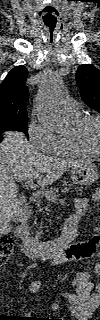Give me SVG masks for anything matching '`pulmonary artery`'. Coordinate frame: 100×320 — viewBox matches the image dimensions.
<instances>
[{
    "instance_id": "e3ab8cb5",
    "label": "pulmonary artery",
    "mask_w": 100,
    "mask_h": 320,
    "mask_svg": "<svg viewBox=\"0 0 100 320\" xmlns=\"http://www.w3.org/2000/svg\"><path fill=\"white\" fill-rule=\"evenodd\" d=\"M59 107L61 111L67 115H73L79 112L78 104L70 97L61 99L59 101Z\"/></svg>"
}]
</instances>
